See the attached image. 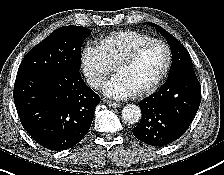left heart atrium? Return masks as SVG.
Returning a JSON list of instances; mask_svg holds the SVG:
<instances>
[{
	"mask_svg": "<svg viewBox=\"0 0 224 175\" xmlns=\"http://www.w3.org/2000/svg\"><path fill=\"white\" fill-rule=\"evenodd\" d=\"M103 92L105 95L116 99L126 98L134 94L133 89L118 74L104 84Z\"/></svg>",
	"mask_w": 224,
	"mask_h": 175,
	"instance_id": "1",
	"label": "left heart atrium"
}]
</instances>
